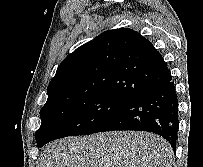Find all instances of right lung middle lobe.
I'll return each instance as SVG.
<instances>
[{
	"label": "right lung middle lobe",
	"instance_id": "dd1d6c3e",
	"mask_svg": "<svg viewBox=\"0 0 203 167\" xmlns=\"http://www.w3.org/2000/svg\"><path fill=\"white\" fill-rule=\"evenodd\" d=\"M130 101L107 94L77 97L40 111L42 120L35 137L39 147L75 135H89Z\"/></svg>",
	"mask_w": 203,
	"mask_h": 167
}]
</instances>
